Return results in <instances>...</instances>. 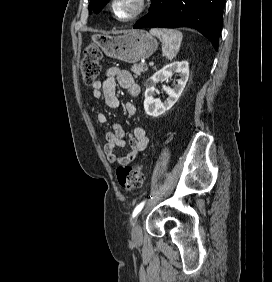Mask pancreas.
<instances>
[{"label": "pancreas", "mask_w": 272, "mask_h": 282, "mask_svg": "<svg viewBox=\"0 0 272 282\" xmlns=\"http://www.w3.org/2000/svg\"><path fill=\"white\" fill-rule=\"evenodd\" d=\"M131 71L134 73L135 77H138L141 75V73H144L147 71V67L143 64H138V65L132 66Z\"/></svg>", "instance_id": "1"}]
</instances>
